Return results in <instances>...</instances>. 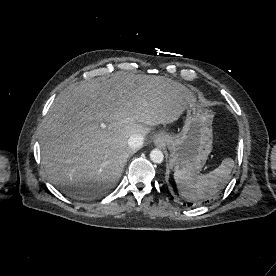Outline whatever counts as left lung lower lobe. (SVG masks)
I'll list each match as a JSON object with an SVG mask.
<instances>
[{
  "mask_svg": "<svg viewBox=\"0 0 276 276\" xmlns=\"http://www.w3.org/2000/svg\"><path fill=\"white\" fill-rule=\"evenodd\" d=\"M167 192L169 193V191L167 190ZM171 198H173L172 196H171ZM188 206H192V204L191 203H188Z\"/></svg>",
  "mask_w": 276,
  "mask_h": 276,
  "instance_id": "0a47b994",
  "label": "left lung lower lobe"
}]
</instances>
